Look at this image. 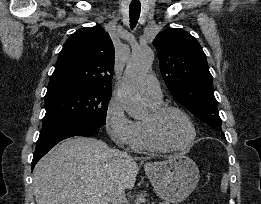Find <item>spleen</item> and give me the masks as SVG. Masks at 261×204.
I'll list each match as a JSON object with an SVG mask.
<instances>
[{"label":"spleen","instance_id":"1","mask_svg":"<svg viewBox=\"0 0 261 204\" xmlns=\"http://www.w3.org/2000/svg\"><path fill=\"white\" fill-rule=\"evenodd\" d=\"M228 188V176L226 174L223 175L221 180V189L223 193H226Z\"/></svg>","mask_w":261,"mask_h":204}]
</instances>
